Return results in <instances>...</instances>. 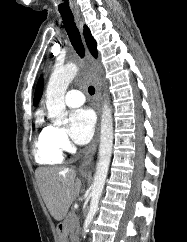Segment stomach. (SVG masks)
<instances>
[{"label":"stomach","instance_id":"obj_1","mask_svg":"<svg viewBox=\"0 0 187 242\" xmlns=\"http://www.w3.org/2000/svg\"><path fill=\"white\" fill-rule=\"evenodd\" d=\"M57 233L59 242H67V232L61 224L57 227Z\"/></svg>","mask_w":187,"mask_h":242}]
</instances>
